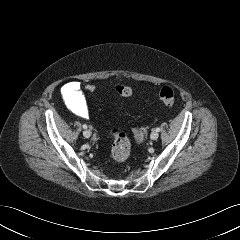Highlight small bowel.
I'll list each match as a JSON object with an SVG mask.
<instances>
[{
  "label": "small bowel",
  "instance_id": "obj_1",
  "mask_svg": "<svg viewBox=\"0 0 240 240\" xmlns=\"http://www.w3.org/2000/svg\"><path fill=\"white\" fill-rule=\"evenodd\" d=\"M62 95L67 106L77 115L87 118L89 115L86 99L78 82L72 81L62 88ZM134 139L137 143H142L147 136V128L144 126L133 129Z\"/></svg>",
  "mask_w": 240,
  "mask_h": 240
}]
</instances>
